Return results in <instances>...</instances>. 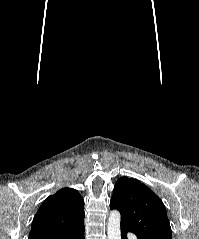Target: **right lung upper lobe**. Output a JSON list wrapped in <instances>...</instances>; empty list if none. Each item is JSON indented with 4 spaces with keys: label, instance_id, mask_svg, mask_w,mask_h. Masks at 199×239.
I'll return each instance as SVG.
<instances>
[{
    "label": "right lung upper lobe",
    "instance_id": "obj_1",
    "mask_svg": "<svg viewBox=\"0 0 199 239\" xmlns=\"http://www.w3.org/2000/svg\"><path fill=\"white\" fill-rule=\"evenodd\" d=\"M84 200L73 188L49 196L34 216L30 237L63 231L84 221Z\"/></svg>",
    "mask_w": 199,
    "mask_h": 239
}]
</instances>
